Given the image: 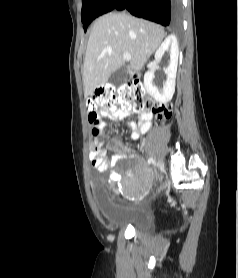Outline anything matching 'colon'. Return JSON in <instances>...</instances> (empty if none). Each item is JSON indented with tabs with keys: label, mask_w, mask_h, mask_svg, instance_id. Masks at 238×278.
<instances>
[{
	"label": "colon",
	"mask_w": 238,
	"mask_h": 278,
	"mask_svg": "<svg viewBox=\"0 0 238 278\" xmlns=\"http://www.w3.org/2000/svg\"><path fill=\"white\" fill-rule=\"evenodd\" d=\"M86 105L93 136L98 135L101 113L115 111L118 107L139 114L153 113L159 119L169 118L172 114L169 106L156 104L146 96L144 86L138 80L118 88L112 85L101 87L87 99Z\"/></svg>",
	"instance_id": "5ec220e1"
}]
</instances>
